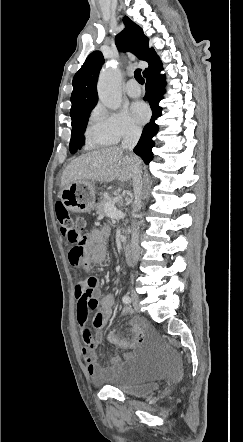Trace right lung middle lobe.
I'll return each mask as SVG.
<instances>
[{
	"label": "right lung middle lobe",
	"mask_w": 243,
	"mask_h": 442,
	"mask_svg": "<svg viewBox=\"0 0 243 442\" xmlns=\"http://www.w3.org/2000/svg\"><path fill=\"white\" fill-rule=\"evenodd\" d=\"M90 112L91 111H86L72 121V135L69 144L71 153H75L85 142L83 132L86 129Z\"/></svg>",
	"instance_id": "right-lung-middle-lobe-1"
}]
</instances>
